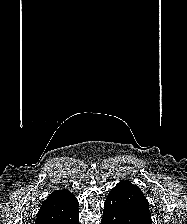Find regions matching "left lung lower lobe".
<instances>
[{"instance_id": "1", "label": "left lung lower lobe", "mask_w": 187, "mask_h": 224, "mask_svg": "<svg viewBox=\"0 0 187 224\" xmlns=\"http://www.w3.org/2000/svg\"><path fill=\"white\" fill-rule=\"evenodd\" d=\"M101 224H152V221L133 213L119 194L111 190L104 203Z\"/></svg>"}]
</instances>
